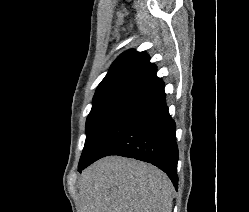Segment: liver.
Masks as SVG:
<instances>
[{
    "mask_svg": "<svg viewBox=\"0 0 249 212\" xmlns=\"http://www.w3.org/2000/svg\"><path fill=\"white\" fill-rule=\"evenodd\" d=\"M78 186L80 212H172L168 176L138 160L102 158L83 170Z\"/></svg>",
    "mask_w": 249,
    "mask_h": 212,
    "instance_id": "1",
    "label": "liver"
}]
</instances>
